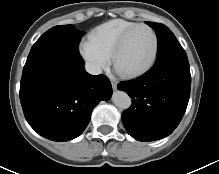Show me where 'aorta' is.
Returning <instances> with one entry per match:
<instances>
[{
	"mask_svg": "<svg viewBox=\"0 0 219 174\" xmlns=\"http://www.w3.org/2000/svg\"><path fill=\"white\" fill-rule=\"evenodd\" d=\"M113 103L120 109H128L131 106V98L124 91H115L112 95Z\"/></svg>",
	"mask_w": 219,
	"mask_h": 174,
	"instance_id": "1",
	"label": "aorta"
}]
</instances>
